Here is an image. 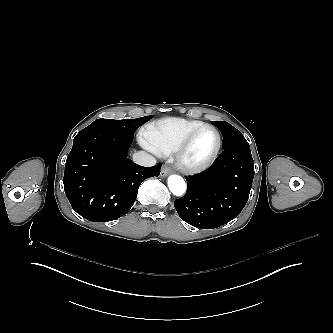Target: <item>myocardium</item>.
<instances>
[{
  "mask_svg": "<svg viewBox=\"0 0 333 333\" xmlns=\"http://www.w3.org/2000/svg\"><path fill=\"white\" fill-rule=\"evenodd\" d=\"M205 128H210L215 132V134L217 136L216 149L213 152V154L210 156V158L207 159L205 162L189 163L185 159V155H186V151L188 149V146H189L191 140L193 139V137L198 132H200L201 130H203ZM221 147H222V137H221V134H220L219 130L214 125L203 124L199 127H196L194 129H192L191 131H189L182 138L179 145L177 146V148L174 152V158H173L175 167L178 170H180L181 172L188 173V174H196V173L203 172V171L207 170L208 168H210L215 163V161L217 160V158L219 156V153L221 151Z\"/></svg>",
  "mask_w": 333,
  "mask_h": 333,
  "instance_id": "myocardium-1",
  "label": "myocardium"
}]
</instances>
